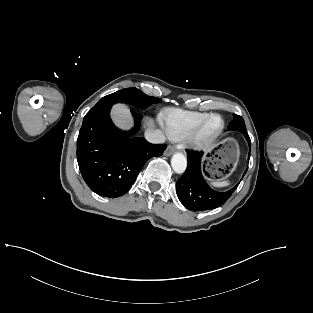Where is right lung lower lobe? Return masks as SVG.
Here are the masks:
<instances>
[{"label":"right lung lower lobe","mask_w":313,"mask_h":313,"mask_svg":"<svg viewBox=\"0 0 313 313\" xmlns=\"http://www.w3.org/2000/svg\"><path fill=\"white\" fill-rule=\"evenodd\" d=\"M112 105H95L85 115L77 139V161L82 177L93 192L105 197L125 194L146 161L161 156L167 147L133 136L142 119L135 111L131 110L134 128L128 132L117 129L110 118Z\"/></svg>","instance_id":"1"}]
</instances>
